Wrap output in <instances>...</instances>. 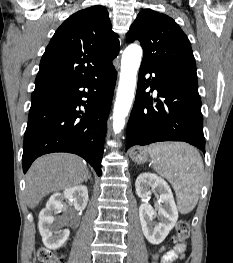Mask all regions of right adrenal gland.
Here are the masks:
<instances>
[{"mask_svg": "<svg viewBox=\"0 0 233 263\" xmlns=\"http://www.w3.org/2000/svg\"><path fill=\"white\" fill-rule=\"evenodd\" d=\"M88 179H89L90 181H92L91 174L89 175Z\"/></svg>", "mask_w": 233, "mask_h": 263, "instance_id": "obj_1", "label": "right adrenal gland"}]
</instances>
